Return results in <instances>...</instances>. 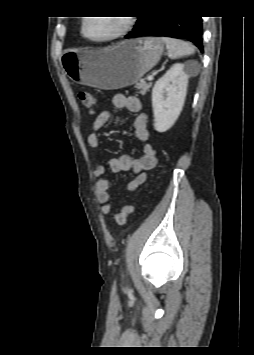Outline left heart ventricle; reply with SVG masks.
<instances>
[{
	"mask_svg": "<svg viewBox=\"0 0 254 355\" xmlns=\"http://www.w3.org/2000/svg\"><path fill=\"white\" fill-rule=\"evenodd\" d=\"M124 24L122 17H93L86 22L85 32L89 37L101 39L112 36Z\"/></svg>",
	"mask_w": 254,
	"mask_h": 355,
	"instance_id": "b2bd125f",
	"label": "left heart ventricle"
}]
</instances>
